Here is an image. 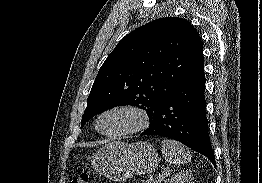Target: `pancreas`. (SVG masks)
I'll return each mask as SVG.
<instances>
[{
	"label": "pancreas",
	"mask_w": 262,
	"mask_h": 183,
	"mask_svg": "<svg viewBox=\"0 0 262 183\" xmlns=\"http://www.w3.org/2000/svg\"><path fill=\"white\" fill-rule=\"evenodd\" d=\"M164 176H165V174H164ZM161 177V176H160ZM165 178V177H164ZM163 178V179H164ZM163 179H161V181L163 180ZM161 181L159 180V178H157V179H150V180H147V181H145V182H142V183H161Z\"/></svg>",
	"instance_id": "cf45deb5"
}]
</instances>
